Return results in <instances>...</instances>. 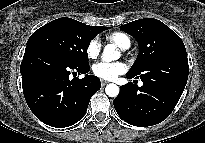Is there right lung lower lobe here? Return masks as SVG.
<instances>
[{
	"label": "right lung lower lobe",
	"mask_w": 205,
	"mask_h": 143,
	"mask_svg": "<svg viewBox=\"0 0 205 143\" xmlns=\"http://www.w3.org/2000/svg\"><path fill=\"white\" fill-rule=\"evenodd\" d=\"M89 70L90 66L72 65L46 48L26 46L20 71L30 110L49 126L64 128L78 122L101 88L98 77L86 74ZM71 72L86 75L71 80Z\"/></svg>",
	"instance_id": "1"
}]
</instances>
